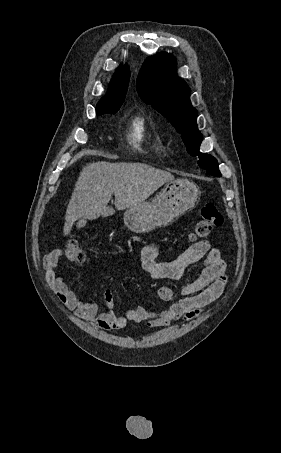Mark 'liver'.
Segmentation results:
<instances>
[{
	"label": "liver",
	"mask_w": 281,
	"mask_h": 453,
	"mask_svg": "<svg viewBox=\"0 0 281 453\" xmlns=\"http://www.w3.org/2000/svg\"><path fill=\"white\" fill-rule=\"evenodd\" d=\"M174 180L173 174L144 162H88L83 166L65 214L63 235H69L78 218L110 216L108 206L114 192L115 208L124 210L144 202L159 186Z\"/></svg>",
	"instance_id": "6515ba94"
}]
</instances>
